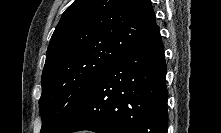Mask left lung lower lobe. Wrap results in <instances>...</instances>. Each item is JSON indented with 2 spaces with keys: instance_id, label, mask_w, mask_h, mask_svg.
<instances>
[{
  "instance_id": "left-lung-lower-lobe-1",
  "label": "left lung lower lobe",
  "mask_w": 221,
  "mask_h": 133,
  "mask_svg": "<svg viewBox=\"0 0 221 133\" xmlns=\"http://www.w3.org/2000/svg\"><path fill=\"white\" fill-rule=\"evenodd\" d=\"M166 72L155 25L106 68L58 133H167Z\"/></svg>"
}]
</instances>
